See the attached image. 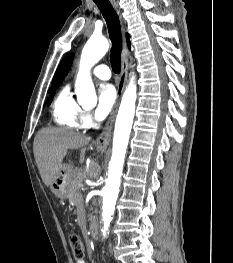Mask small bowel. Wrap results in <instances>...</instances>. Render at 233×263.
I'll list each match as a JSON object with an SVG mask.
<instances>
[{"mask_svg":"<svg viewBox=\"0 0 233 263\" xmlns=\"http://www.w3.org/2000/svg\"><path fill=\"white\" fill-rule=\"evenodd\" d=\"M77 263H88L86 260L78 261Z\"/></svg>","mask_w":233,"mask_h":263,"instance_id":"small-bowel-1","label":"small bowel"}]
</instances>
